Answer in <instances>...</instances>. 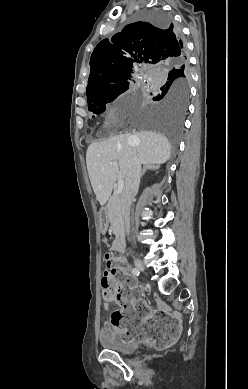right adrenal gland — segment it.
<instances>
[{
    "label": "right adrenal gland",
    "instance_id": "1",
    "mask_svg": "<svg viewBox=\"0 0 248 389\" xmlns=\"http://www.w3.org/2000/svg\"><path fill=\"white\" fill-rule=\"evenodd\" d=\"M158 169H159V165L146 164L144 165L143 170L141 172V177L145 174L147 170H158Z\"/></svg>",
    "mask_w": 248,
    "mask_h": 389
}]
</instances>
